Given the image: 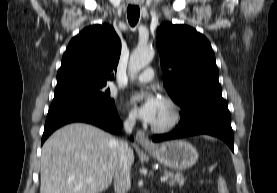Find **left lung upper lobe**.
<instances>
[{
    "label": "left lung upper lobe",
    "instance_id": "5c2ea615",
    "mask_svg": "<svg viewBox=\"0 0 277 193\" xmlns=\"http://www.w3.org/2000/svg\"><path fill=\"white\" fill-rule=\"evenodd\" d=\"M163 84L184 113L197 101L222 97L209 41L192 27L163 23L157 29Z\"/></svg>",
    "mask_w": 277,
    "mask_h": 193
}]
</instances>
